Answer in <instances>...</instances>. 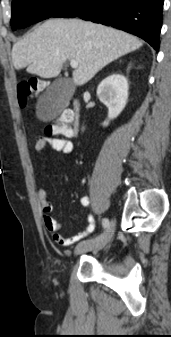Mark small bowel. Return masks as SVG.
Masks as SVG:
<instances>
[{
  "mask_svg": "<svg viewBox=\"0 0 171 337\" xmlns=\"http://www.w3.org/2000/svg\"><path fill=\"white\" fill-rule=\"evenodd\" d=\"M47 146L64 154H72L74 152V144L70 139L47 135L36 139L34 150L37 154H41ZM37 199L39 208L43 214L44 226L57 244L62 246H71L95 230V218L92 214H89L88 226L85 231L79 232L72 237H65L61 233L62 225L50 215L53 210V206L49 202L47 191L43 187L38 188ZM80 202L84 207H90V200L87 196H83L80 199Z\"/></svg>",
  "mask_w": 171,
  "mask_h": 337,
  "instance_id": "c3829d8e",
  "label": "small bowel"
}]
</instances>
